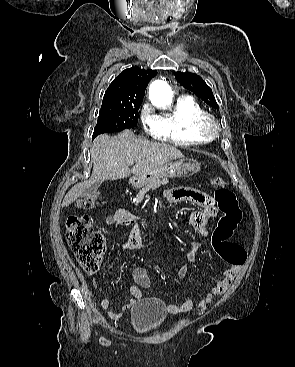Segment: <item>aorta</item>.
<instances>
[{
	"instance_id": "1",
	"label": "aorta",
	"mask_w": 295,
	"mask_h": 367,
	"mask_svg": "<svg viewBox=\"0 0 295 367\" xmlns=\"http://www.w3.org/2000/svg\"><path fill=\"white\" fill-rule=\"evenodd\" d=\"M149 98L153 105L166 108L172 103V91L167 83L156 80L150 86Z\"/></svg>"
}]
</instances>
